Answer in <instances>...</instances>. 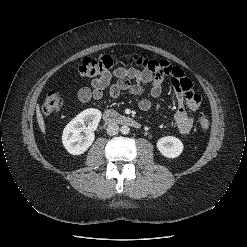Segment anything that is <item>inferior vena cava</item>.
I'll use <instances>...</instances> for the list:
<instances>
[{
    "label": "inferior vena cava",
    "mask_w": 247,
    "mask_h": 247,
    "mask_svg": "<svg viewBox=\"0 0 247 247\" xmlns=\"http://www.w3.org/2000/svg\"><path fill=\"white\" fill-rule=\"evenodd\" d=\"M107 134L110 136L116 135L119 132V126L116 123H111L107 126Z\"/></svg>",
    "instance_id": "602c4592"
}]
</instances>
